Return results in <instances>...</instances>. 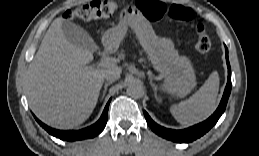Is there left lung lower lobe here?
Instances as JSON below:
<instances>
[{"instance_id": "1", "label": "left lung lower lobe", "mask_w": 259, "mask_h": 156, "mask_svg": "<svg viewBox=\"0 0 259 156\" xmlns=\"http://www.w3.org/2000/svg\"><path fill=\"white\" fill-rule=\"evenodd\" d=\"M226 51V61H227V67H228V80L227 85L225 87V91L223 94V97L221 99V102L217 108V110L214 112L213 115H211L207 120H205L202 123H199L197 125H194L192 127L186 128L184 130H172L164 128L158 124H156L150 116L147 114V112L144 111V116L146 118V121L150 128L159 136L174 141L178 143H188L196 140L197 138L203 136L206 132H208L219 120L220 116L224 113L228 98L231 92V68L228 60V50L227 47H225Z\"/></svg>"}]
</instances>
